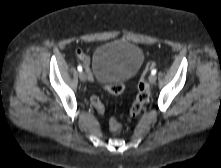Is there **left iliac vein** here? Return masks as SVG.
<instances>
[{
  "mask_svg": "<svg viewBox=\"0 0 221 168\" xmlns=\"http://www.w3.org/2000/svg\"><path fill=\"white\" fill-rule=\"evenodd\" d=\"M156 79H157V78H156V75H152V74H151V75L149 76V83H150V84H154V83L156 82Z\"/></svg>",
  "mask_w": 221,
  "mask_h": 168,
  "instance_id": "left-iliac-vein-1",
  "label": "left iliac vein"
}]
</instances>
